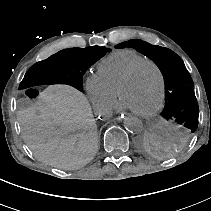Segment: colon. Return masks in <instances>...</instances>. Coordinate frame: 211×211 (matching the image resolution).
I'll return each instance as SVG.
<instances>
[{
  "mask_svg": "<svg viewBox=\"0 0 211 211\" xmlns=\"http://www.w3.org/2000/svg\"><path fill=\"white\" fill-rule=\"evenodd\" d=\"M26 96L30 99H35L40 95V89L36 87H30L25 92Z\"/></svg>",
  "mask_w": 211,
  "mask_h": 211,
  "instance_id": "colon-1",
  "label": "colon"
}]
</instances>
